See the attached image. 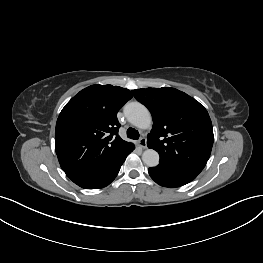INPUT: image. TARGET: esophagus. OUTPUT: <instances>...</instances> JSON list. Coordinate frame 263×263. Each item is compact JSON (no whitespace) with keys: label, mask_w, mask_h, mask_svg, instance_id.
<instances>
[{"label":"esophagus","mask_w":263,"mask_h":263,"mask_svg":"<svg viewBox=\"0 0 263 263\" xmlns=\"http://www.w3.org/2000/svg\"><path fill=\"white\" fill-rule=\"evenodd\" d=\"M137 144L142 149H146L147 148L146 139L144 137L140 138L139 141L137 142Z\"/></svg>","instance_id":"esophagus-1"}]
</instances>
